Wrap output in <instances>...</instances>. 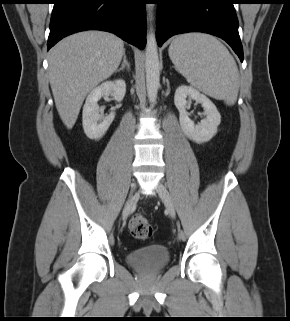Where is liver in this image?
I'll return each instance as SVG.
<instances>
[{
    "label": "liver",
    "mask_w": 290,
    "mask_h": 321,
    "mask_svg": "<svg viewBox=\"0 0 290 321\" xmlns=\"http://www.w3.org/2000/svg\"><path fill=\"white\" fill-rule=\"evenodd\" d=\"M123 41L104 31H83L58 42L49 52V81L59 116L71 129L87 94L118 68Z\"/></svg>",
    "instance_id": "6515ba94"
}]
</instances>
